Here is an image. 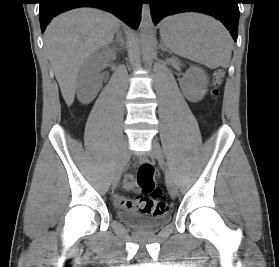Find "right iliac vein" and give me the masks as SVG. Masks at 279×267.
Here are the masks:
<instances>
[{
	"label": "right iliac vein",
	"mask_w": 279,
	"mask_h": 267,
	"mask_svg": "<svg viewBox=\"0 0 279 267\" xmlns=\"http://www.w3.org/2000/svg\"><path fill=\"white\" fill-rule=\"evenodd\" d=\"M128 159V143L124 142L118 154L117 165L113 176V185H117L120 181L122 171Z\"/></svg>",
	"instance_id": "1"
}]
</instances>
